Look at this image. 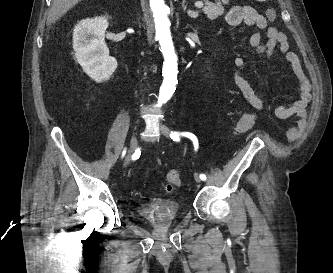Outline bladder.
I'll use <instances>...</instances> for the list:
<instances>
[{"label": "bladder", "instance_id": "1", "mask_svg": "<svg viewBox=\"0 0 333 273\" xmlns=\"http://www.w3.org/2000/svg\"><path fill=\"white\" fill-rule=\"evenodd\" d=\"M136 211L150 224L158 228L169 227L182 216L179 204L170 199L139 204Z\"/></svg>", "mask_w": 333, "mask_h": 273}]
</instances>
